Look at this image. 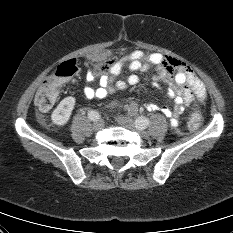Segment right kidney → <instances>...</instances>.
Returning <instances> with one entry per match:
<instances>
[{"label": "right kidney", "mask_w": 233, "mask_h": 233, "mask_svg": "<svg viewBox=\"0 0 233 233\" xmlns=\"http://www.w3.org/2000/svg\"><path fill=\"white\" fill-rule=\"evenodd\" d=\"M75 106V98L72 96L64 98L57 108L52 112V122L58 126H64L72 113Z\"/></svg>", "instance_id": "1"}]
</instances>
